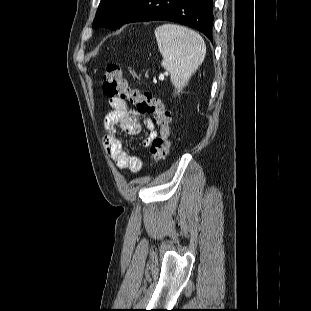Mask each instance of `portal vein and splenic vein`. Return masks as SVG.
Masks as SVG:
<instances>
[{
	"mask_svg": "<svg viewBox=\"0 0 311 311\" xmlns=\"http://www.w3.org/2000/svg\"><path fill=\"white\" fill-rule=\"evenodd\" d=\"M159 79L163 80L164 79V75H160Z\"/></svg>",
	"mask_w": 311,
	"mask_h": 311,
	"instance_id": "portal-vein-and-splenic-vein-1",
	"label": "portal vein and splenic vein"
}]
</instances>
